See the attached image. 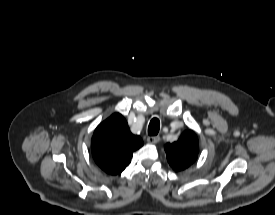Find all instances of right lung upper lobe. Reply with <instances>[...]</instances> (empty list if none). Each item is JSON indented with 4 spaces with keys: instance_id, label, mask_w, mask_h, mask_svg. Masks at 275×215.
Segmentation results:
<instances>
[{
    "instance_id": "obj_1",
    "label": "right lung upper lobe",
    "mask_w": 275,
    "mask_h": 215,
    "mask_svg": "<svg viewBox=\"0 0 275 215\" xmlns=\"http://www.w3.org/2000/svg\"><path fill=\"white\" fill-rule=\"evenodd\" d=\"M142 145V139L130 132L125 118L115 113L97 126L91 149L98 166L116 175L129 165L133 152Z\"/></svg>"
}]
</instances>
